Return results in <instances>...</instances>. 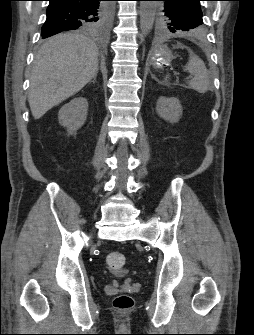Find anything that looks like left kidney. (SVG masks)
I'll return each mask as SVG.
<instances>
[{
    "label": "left kidney",
    "mask_w": 254,
    "mask_h": 335,
    "mask_svg": "<svg viewBox=\"0 0 254 335\" xmlns=\"http://www.w3.org/2000/svg\"><path fill=\"white\" fill-rule=\"evenodd\" d=\"M156 111L164 120L176 123L182 115V106L177 98L160 97L157 101Z\"/></svg>",
    "instance_id": "obj_1"
}]
</instances>
